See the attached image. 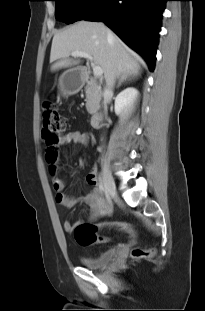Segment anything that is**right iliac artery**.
I'll use <instances>...</instances> for the list:
<instances>
[{"label":"right iliac artery","instance_id":"right-iliac-artery-1","mask_svg":"<svg viewBox=\"0 0 205 311\" xmlns=\"http://www.w3.org/2000/svg\"><path fill=\"white\" fill-rule=\"evenodd\" d=\"M99 191H100L101 193L104 192V185H103V182H102V178H101V177H99Z\"/></svg>","mask_w":205,"mask_h":311}]
</instances>
